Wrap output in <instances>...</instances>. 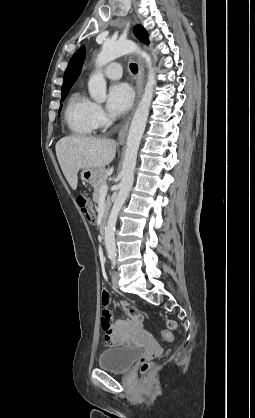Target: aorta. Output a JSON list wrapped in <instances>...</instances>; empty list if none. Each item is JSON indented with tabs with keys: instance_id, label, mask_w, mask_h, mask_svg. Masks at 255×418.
<instances>
[{
	"instance_id": "aorta-1",
	"label": "aorta",
	"mask_w": 255,
	"mask_h": 418,
	"mask_svg": "<svg viewBox=\"0 0 255 418\" xmlns=\"http://www.w3.org/2000/svg\"><path fill=\"white\" fill-rule=\"evenodd\" d=\"M136 52L140 54L146 61L148 66V79L142 94L139 105L133 116L126 143V150L124 155L122 167V179L119 185V192L117 198L111 209L107 225L105 227V246L109 256H115V227L118 214L123 207L128 194L132 188L134 181V170L136 166L137 153L143 136L147 118L149 115V108L152 102L154 85L156 83L155 72L152 68V61L150 56L145 51H140L137 45L130 40L105 41L101 52L96 59L97 72L92 75L88 82V89L91 97L97 102H104L106 100V81L101 73V68L113 61L114 59Z\"/></svg>"
}]
</instances>
